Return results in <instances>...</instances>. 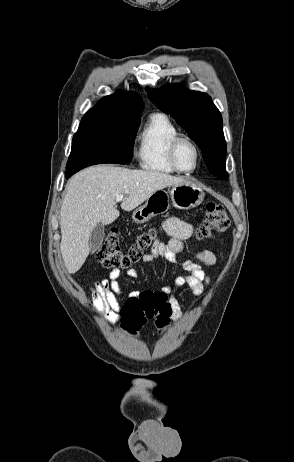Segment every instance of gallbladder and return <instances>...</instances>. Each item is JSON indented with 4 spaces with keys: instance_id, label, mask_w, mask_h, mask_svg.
Returning <instances> with one entry per match:
<instances>
[{
    "instance_id": "gallbladder-1",
    "label": "gallbladder",
    "mask_w": 294,
    "mask_h": 462,
    "mask_svg": "<svg viewBox=\"0 0 294 462\" xmlns=\"http://www.w3.org/2000/svg\"><path fill=\"white\" fill-rule=\"evenodd\" d=\"M105 236L104 226L99 223L91 232L89 236V248L91 253H94L98 250L102 244L103 238Z\"/></svg>"
}]
</instances>
